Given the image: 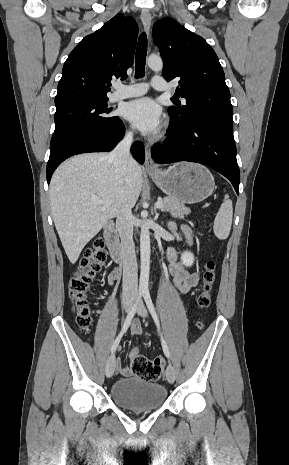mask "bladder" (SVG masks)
<instances>
[{"mask_svg":"<svg viewBox=\"0 0 289 465\" xmlns=\"http://www.w3.org/2000/svg\"><path fill=\"white\" fill-rule=\"evenodd\" d=\"M110 396L117 405L127 409L153 410L165 402L167 389L157 382L129 377L115 381Z\"/></svg>","mask_w":289,"mask_h":465,"instance_id":"31cf9c89","label":"bladder"}]
</instances>
